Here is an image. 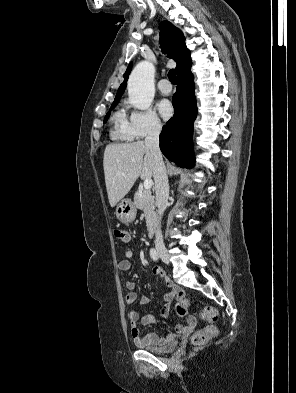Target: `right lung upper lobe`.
Here are the masks:
<instances>
[{"label":"right lung upper lobe","instance_id":"cb5924a9","mask_svg":"<svg viewBox=\"0 0 296 393\" xmlns=\"http://www.w3.org/2000/svg\"><path fill=\"white\" fill-rule=\"evenodd\" d=\"M159 29L162 50L164 53L168 54L169 58H172L176 61V71L178 74L183 68L191 63L190 51L185 46V38L182 32L169 21H162L159 25ZM131 68L132 63L129 64L124 74V81L118 89L114 102L119 101L120 97L122 96L126 88L127 79Z\"/></svg>","mask_w":296,"mask_h":393}]
</instances>
